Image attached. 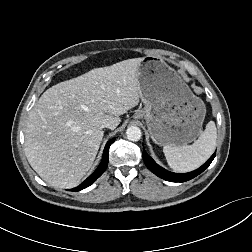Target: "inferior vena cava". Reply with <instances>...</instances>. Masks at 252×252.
Masks as SVG:
<instances>
[{"label": "inferior vena cava", "mask_w": 252, "mask_h": 252, "mask_svg": "<svg viewBox=\"0 0 252 252\" xmlns=\"http://www.w3.org/2000/svg\"><path fill=\"white\" fill-rule=\"evenodd\" d=\"M101 128H109V129H113L114 126L112 123H110L109 121H104L101 124Z\"/></svg>", "instance_id": "1"}]
</instances>
